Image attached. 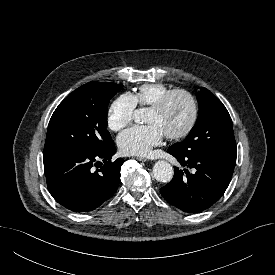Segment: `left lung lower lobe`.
Here are the masks:
<instances>
[{"label": "left lung lower lobe", "mask_w": 275, "mask_h": 275, "mask_svg": "<svg viewBox=\"0 0 275 275\" xmlns=\"http://www.w3.org/2000/svg\"><path fill=\"white\" fill-rule=\"evenodd\" d=\"M181 165L190 167L179 170L174 167V178L160 189L164 199L188 213H197L216 203L227 189L236 164V155L198 150L179 153L170 147Z\"/></svg>", "instance_id": "1"}]
</instances>
